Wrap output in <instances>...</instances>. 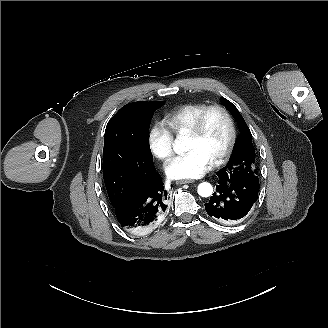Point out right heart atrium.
Returning a JSON list of instances; mask_svg holds the SVG:
<instances>
[{"label": "right heart atrium", "instance_id": "1", "mask_svg": "<svg viewBox=\"0 0 328 328\" xmlns=\"http://www.w3.org/2000/svg\"><path fill=\"white\" fill-rule=\"evenodd\" d=\"M150 152L160 160H166L174 153L173 136L162 121H155L148 131Z\"/></svg>", "mask_w": 328, "mask_h": 328}]
</instances>
